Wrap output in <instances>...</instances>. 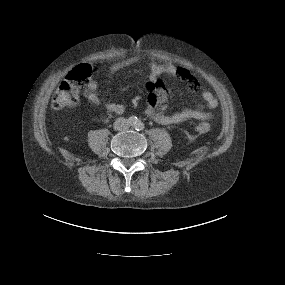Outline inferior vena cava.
<instances>
[{
	"mask_svg": "<svg viewBox=\"0 0 285 285\" xmlns=\"http://www.w3.org/2000/svg\"><path fill=\"white\" fill-rule=\"evenodd\" d=\"M129 128V121L126 118H117L114 122V129L117 131L127 130Z\"/></svg>",
	"mask_w": 285,
	"mask_h": 285,
	"instance_id": "inferior-vena-cava-1",
	"label": "inferior vena cava"
}]
</instances>
